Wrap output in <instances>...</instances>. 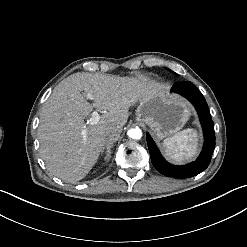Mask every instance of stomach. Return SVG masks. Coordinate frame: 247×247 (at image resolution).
Returning <instances> with one entry per match:
<instances>
[{"instance_id": "stomach-1", "label": "stomach", "mask_w": 247, "mask_h": 247, "mask_svg": "<svg viewBox=\"0 0 247 247\" xmlns=\"http://www.w3.org/2000/svg\"><path fill=\"white\" fill-rule=\"evenodd\" d=\"M136 115L158 138H171L189 120L192 108L182 97L169 94L168 87L161 86L140 101Z\"/></svg>"}]
</instances>
